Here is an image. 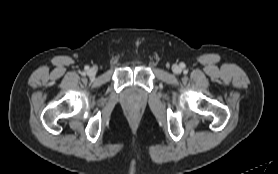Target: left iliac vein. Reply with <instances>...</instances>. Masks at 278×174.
<instances>
[{
    "label": "left iliac vein",
    "instance_id": "4c4485c4",
    "mask_svg": "<svg viewBox=\"0 0 278 174\" xmlns=\"http://www.w3.org/2000/svg\"><path fill=\"white\" fill-rule=\"evenodd\" d=\"M173 72L175 73V74H179V73H181V68L179 67V66H174L173 67Z\"/></svg>",
    "mask_w": 278,
    "mask_h": 174
}]
</instances>
